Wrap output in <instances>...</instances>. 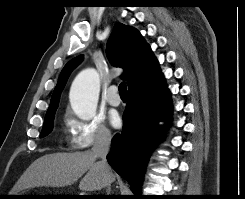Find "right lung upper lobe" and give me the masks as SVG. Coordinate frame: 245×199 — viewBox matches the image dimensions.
<instances>
[{"label": "right lung upper lobe", "instance_id": "right-lung-upper-lobe-1", "mask_svg": "<svg viewBox=\"0 0 245 199\" xmlns=\"http://www.w3.org/2000/svg\"><path fill=\"white\" fill-rule=\"evenodd\" d=\"M106 52L114 66L124 68L121 77L127 81L128 92L147 90L162 80L159 63L137 30L117 23L107 42ZM82 58L71 59L61 71L46 116L56 111L68 77Z\"/></svg>", "mask_w": 245, "mask_h": 199}]
</instances>
